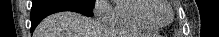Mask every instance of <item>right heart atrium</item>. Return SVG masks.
Returning <instances> with one entry per match:
<instances>
[{
	"label": "right heart atrium",
	"mask_w": 219,
	"mask_h": 37,
	"mask_svg": "<svg viewBox=\"0 0 219 37\" xmlns=\"http://www.w3.org/2000/svg\"><path fill=\"white\" fill-rule=\"evenodd\" d=\"M95 16L103 22L109 23L114 18L112 5L107 0H96L93 6Z\"/></svg>",
	"instance_id": "1"
}]
</instances>
